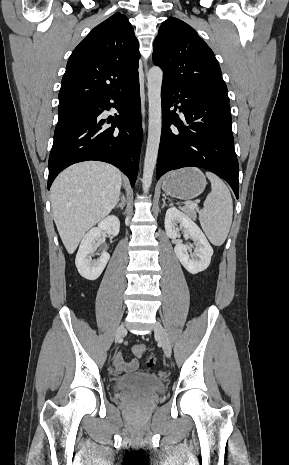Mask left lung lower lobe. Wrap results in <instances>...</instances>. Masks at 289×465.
<instances>
[{
	"label": "left lung lower lobe",
	"instance_id": "obj_1",
	"mask_svg": "<svg viewBox=\"0 0 289 465\" xmlns=\"http://www.w3.org/2000/svg\"><path fill=\"white\" fill-rule=\"evenodd\" d=\"M161 94L162 133L156 178L173 169L200 167L226 180L238 198L239 166L229 102L166 83ZM172 106L175 109L171 111ZM176 108L183 112L188 126L178 119Z\"/></svg>",
	"mask_w": 289,
	"mask_h": 465
}]
</instances>
